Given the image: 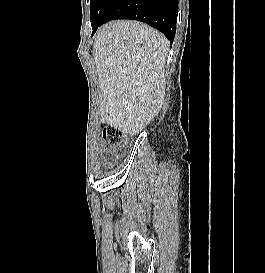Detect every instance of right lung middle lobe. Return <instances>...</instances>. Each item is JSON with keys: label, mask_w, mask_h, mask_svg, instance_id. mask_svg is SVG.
Listing matches in <instances>:
<instances>
[{"label": "right lung middle lobe", "mask_w": 265, "mask_h": 273, "mask_svg": "<svg viewBox=\"0 0 265 273\" xmlns=\"http://www.w3.org/2000/svg\"><path fill=\"white\" fill-rule=\"evenodd\" d=\"M113 0H90V21L92 29L97 27Z\"/></svg>", "instance_id": "right-lung-middle-lobe-1"}]
</instances>
